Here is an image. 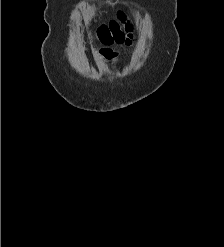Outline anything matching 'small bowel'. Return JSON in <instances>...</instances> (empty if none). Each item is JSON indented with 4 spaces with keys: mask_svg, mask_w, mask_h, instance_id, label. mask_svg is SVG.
Here are the masks:
<instances>
[{
    "mask_svg": "<svg viewBox=\"0 0 224 247\" xmlns=\"http://www.w3.org/2000/svg\"><path fill=\"white\" fill-rule=\"evenodd\" d=\"M104 47L98 50L97 56L101 59L117 62L118 61V53L113 51L110 46L113 44L117 45H124V46H130L132 45L134 41V36L131 33H122L119 36L107 39V40H101Z\"/></svg>",
    "mask_w": 224,
    "mask_h": 247,
    "instance_id": "c3829d8e",
    "label": "small bowel"
}]
</instances>
